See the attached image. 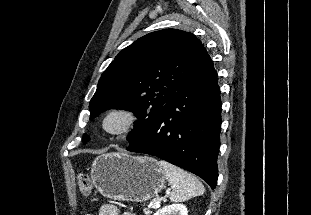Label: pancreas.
Segmentation results:
<instances>
[{
    "label": "pancreas",
    "mask_w": 311,
    "mask_h": 215,
    "mask_svg": "<svg viewBox=\"0 0 311 215\" xmlns=\"http://www.w3.org/2000/svg\"><path fill=\"white\" fill-rule=\"evenodd\" d=\"M143 212L145 213V215H150L152 213V211L148 208H144Z\"/></svg>",
    "instance_id": "obj_1"
}]
</instances>
